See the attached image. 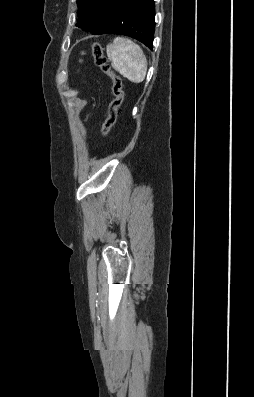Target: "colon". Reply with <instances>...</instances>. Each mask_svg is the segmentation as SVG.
Instances as JSON below:
<instances>
[{
	"instance_id": "5ec220e1",
	"label": "colon",
	"mask_w": 254,
	"mask_h": 397,
	"mask_svg": "<svg viewBox=\"0 0 254 397\" xmlns=\"http://www.w3.org/2000/svg\"><path fill=\"white\" fill-rule=\"evenodd\" d=\"M92 54L94 56L97 66L111 79L112 81V92L113 100L110 102L108 107V115L102 125L101 135L105 138L114 126L119 108L124 99V91L122 86L121 78L111 70L108 60L104 55L103 48L98 42H94L90 46Z\"/></svg>"
}]
</instances>
